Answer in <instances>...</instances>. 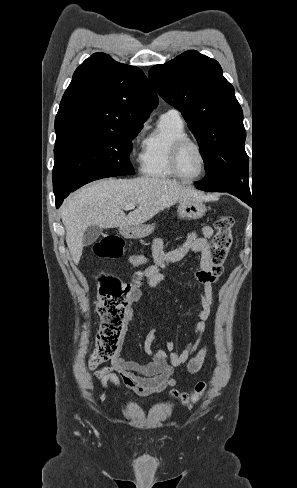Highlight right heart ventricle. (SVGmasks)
I'll list each match as a JSON object with an SVG mask.
<instances>
[{"instance_id": "right-heart-ventricle-1", "label": "right heart ventricle", "mask_w": 297, "mask_h": 488, "mask_svg": "<svg viewBox=\"0 0 297 488\" xmlns=\"http://www.w3.org/2000/svg\"><path fill=\"white\" fill-rule=\"evenodd\" d=\"M185 136V123L179 115H162L143 142L140 156L141 172L155 179L176 177L169 166V154L173 143Z\"/></svg>"}]
</instances>
